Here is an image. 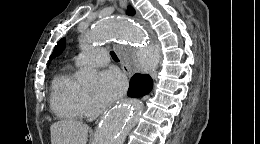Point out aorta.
I'll use <instances>...</instances> for the list:
<instances>
[{
    "instance_id": "762f6f07",
    "label": "aorta",
    "mask_w": 260,
    "mask_h": 144,
    "mask_svg": "<svg viewBox=\"0 0 260 144\" xmlns=\"http://www.w3.org/2000/svg\"><path fill=\"white\" fill-rule=\"evenodd\" d=\"M147 39L144 30L135 21L113 18L99 21L91 30L84 32L80 37V47L89 50L94 44L121 40L129 45L121 52L125 62L138 63L144 70H153L157 66L156 60L153 57L138 59L134 51L135 48H144ZM95 76L93 69L84 68L78 78L86 85H93ZM142 109V102L137 99L126 100L113 108L100 122L95 144H124L130 130L139 122Z\"/></svg>"
}]
</instances>
